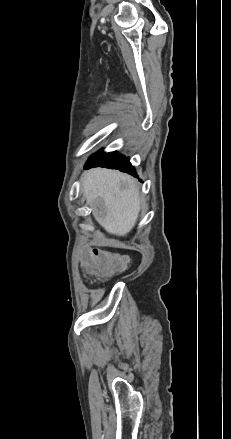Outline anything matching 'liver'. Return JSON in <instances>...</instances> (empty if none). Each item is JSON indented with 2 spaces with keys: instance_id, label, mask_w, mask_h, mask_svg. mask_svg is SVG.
<instances>
[{
  "instance_id": "obj_1",
  "label": "liver",
  "mask_w": 231,
  "mask_h": 439,
  "mask_svg": "<svg viewBox=\"0 0 231 439\" xmlns=\"http://www.w3.org/2000/svg\"><path fill=\"white\" fill-rule=\"evenodd\" d=\"M82 192L97 203L96 218L108 233L124 236L133 229L141 199L132 178L119 171L94 168L83 174Z\"/></svg>"
}]
</instances>
